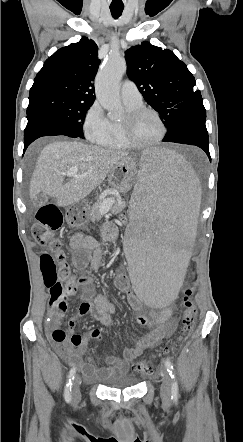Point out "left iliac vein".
Returning <instances> with one entry per match:
<instances>
[{
  "instance_id": "4c4485c4",
  "label": "left iliac vein",
  "mask_w": 243,
  "mask_h": 442,
  "mask_svg": "<svg viewBox=\"0 0 243 442\" xmlns=\"http://www.w3.org/2000/svg\"><path fill=\"white\" fill-rule=\"evenodd\" d=\"M162 384L160 387L161 398L165 403H169L171 399V377L165 370H161Z\"/></svg>"
}]
</instances>
